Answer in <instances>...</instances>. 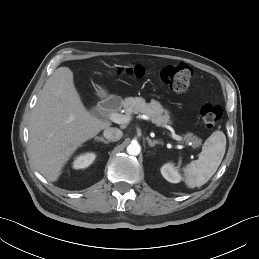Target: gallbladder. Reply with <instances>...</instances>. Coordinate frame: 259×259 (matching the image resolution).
Returning <instances> with one entry per match:
<instances>
[{
  "label": "gallbladder",
  "mask_w": 259,
  "mask_h": 259,
  "mask_svg": "<svg viewBox=\"0 0 259 259\" xmlns=\"http://www.w3.org/2000/svg\"><path fill=\"white\" fill-rule=\"evenodd\" d=\"M90 112H91V113H94V112H95L94 107H92V108L90 109Z\"/></svg>",
  "instance_id": "gallbladder-1"
}]
</instances>
